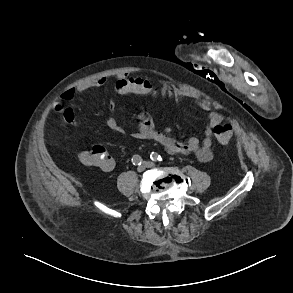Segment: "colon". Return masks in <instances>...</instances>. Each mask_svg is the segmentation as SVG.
<instances>
[{
	"label": "colon",
	"instance_id": "obj_1",
	"mask_svg": "<svg viewBox=\"0 0 293 293\" xmlns=\"http://www.w3.org/2000/svg\"><path fill=\"white\" fill-rule=\"evenodd\" d=\"M214 135L219 143L227 144L232 137V127L225 123L214 127ZM112 157L104 144L97 143L91 145L80 154V161L86 165L97 168H108Z\"/></svg>",
	"mask_w": 293,
	"mask_h": 293
}]
</instances>
